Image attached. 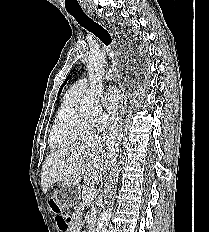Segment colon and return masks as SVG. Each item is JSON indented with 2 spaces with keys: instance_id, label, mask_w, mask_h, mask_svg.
Returning <instances> with one entry per match:
<instances>
[{
  "instance_id": "1",
  "label": "colon",
  "mask_w": 209,
  "mask_h": 232,
  "mask_svg": "<svg viewBox=\"0 0 209 232\" xmlns=\"http://www.w3.org/2000/svg\"><path fill=\"white\" fill-rule=\"evenodd\" d=\"M47 206H52L51 210L56 212V220L60 229L66 228L71 221L70 215L65 211H61L60 207L56 206V201H53L52 197L48 198Z\"/></svg>"
}]
</instances>
